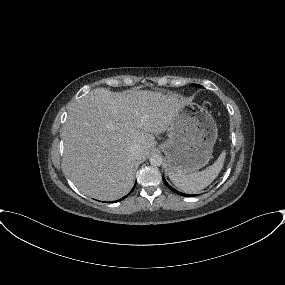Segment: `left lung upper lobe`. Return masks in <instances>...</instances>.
<instances>
[{"label":"left lung upper lobe","instance_id":"left-lung-upper-lobe-1","mask_svg":"<svg viewBox=\"0 0 285 285\" xmlns=\"http://www.w3.org/2000/svg\"><path fill=\"white\" fill-rule=\"evenodd\" d=\"M192 86H194V87H200V88H203V86H201V85H198V84H192Z\"/></svg>","mask_w":285,"mask_h":285}]
</instances>
